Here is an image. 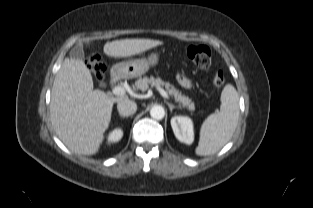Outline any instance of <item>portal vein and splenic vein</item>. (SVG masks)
<instances>
[{
	"mask_svg": "<svg viewBox=\"0 0 313 208\" xmlns=\"http://www.w3.org/2000/svg\"><path fill=\"white\" fill-rule=\"evenodd\" d=\"M157 90L159 91V93L164 97V98H166V99H169V95H168V93L163 89V88H161V87H157ZM125 88L124 87H122V86H115L113 89H112V93L114 94V95H118V96H120V95H124L125 94Z\"/></svg>",
	"mask_w": 313,
	"mask_h": 208,
	"instance_id": "1",
	"label": "portal vein and splenic vein"
}]
</instances>
